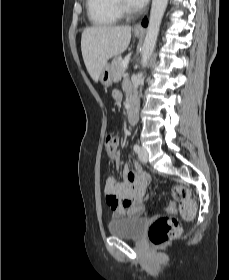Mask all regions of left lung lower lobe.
<instances>
[{"label":"left lung lower lobe","instance_id":"left-lung-lower-lobe-1","mask_svg":"<svg viewBox=\"0 0 229 280\" xmlns=\"http://www.w3.org/2000/svg\"><path fill=\"white\" fill-rule=\"evenodd\" d=\"M148 25V20L144 19L142 21V26L146 27Z\"/></svg>","mask_w":229,"mask_h":280}]
</instances>
